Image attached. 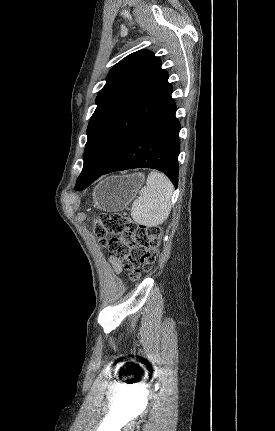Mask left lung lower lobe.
I'll return each mask as SVG.
<instances>
[{
  "label": "left lung lower lobe",
  "mask_w": 275,
  "mask_h": 431,
  "mask_svg": "<svg viewBox=\"0 0 275 431\" xmlns=\"http://www.w3.org/2000/svg\"><path fill=\"white\" fill-rule=\"evenodd\" d=\"M175 113V101L170 95L163 106L105 170L84 175L87 177L83 181L79 177L75 189L87 188L101 175L140 167L153 168L165 173L177 187L180 123Z\"/></svg>",
  "instance_id": "1"
}]
</instances>
